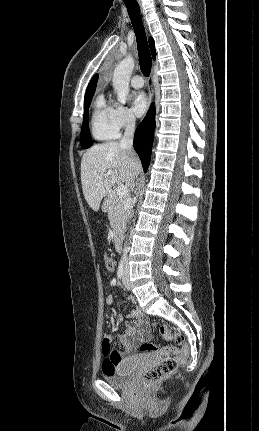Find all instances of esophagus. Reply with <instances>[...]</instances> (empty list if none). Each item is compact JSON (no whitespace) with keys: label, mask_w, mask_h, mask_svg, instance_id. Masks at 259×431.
I'll use <instances>...</instances> for the list:
<instances>
[{"label":"esophagus","mask_w":259,"mask_h":431,"mask_svg":"<svg viewBox=\"0 0 259 431\" xmlns=\"http://www.w3.org/2000/svg\"><path fill=\"white\" fill-rule=\"evenodd\" d=\"M148 85H149L150 99H152V97H153V74H151V76L149 78Z\"/></svg>","instance_id":"34e87169"}]
</instances>
